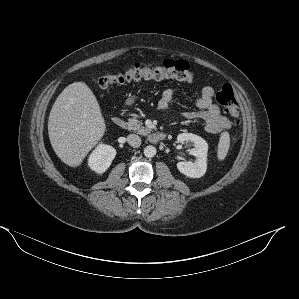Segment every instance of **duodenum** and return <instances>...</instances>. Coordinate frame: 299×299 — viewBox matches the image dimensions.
<instances>
[{
	"mask_svg": "<svg viewBox=\"0 0 299 299\" xmlns=\"http://www.w3.org/2000/svg\"><path fill=\"white\" fill-rule=\"evenodd\" d=\"M111 123L118 128L124 127L125 123L120 117H113ZM166 138L165 132H155L149 135L148 139L152 143H158Z\"/></svg>",
	"mask_w": 299,
	"mask_h": 299,
	"instance_id": "410a0bca",
	"label": "duodenum"
}]
</instances>
